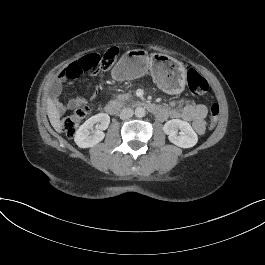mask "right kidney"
<instances>
[{
  "label": "right kidney",
  "instance_id": "1",
  "mask_svg": "<svg viewBox=\"0 0 265 265\" xmlns=\"http://www.w3.org/2000/svg\"><path fill=\"white\" fill-rule=\"evenodd\" d=\"M110 117L100 113L90 117L77 130L74 143L81 149H87L98 145L105 139L106 134L102 131L108 128Z\"/></svg>",
  "mask_w": 265,
  "mask_h": 265
}]
</instances>
